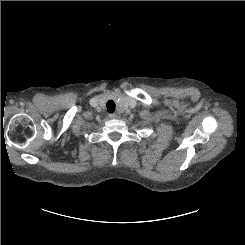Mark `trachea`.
Segmentation results:
<instances>
[{
	"label": "trachea",
	"mask_w": 245,
	"mask_h": 245,
	"mask_svg": "<svg viewBox=\"0 0 245 245\" xmlns=\"http://www.w3.org/2000/svg\"><path fill=\"white\" fill-rule=\"evenodd\" d=\"M106 106H107V110H108L109 113H113L114 112V110H115V103H114V101L109 100L107 102Z\"/></svg>",
	"instance_id": "trachea-1"
}]
</instances>
